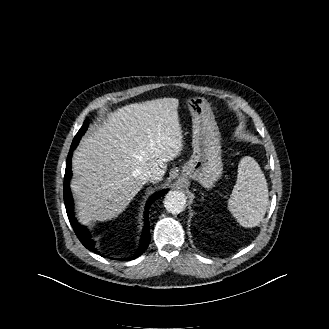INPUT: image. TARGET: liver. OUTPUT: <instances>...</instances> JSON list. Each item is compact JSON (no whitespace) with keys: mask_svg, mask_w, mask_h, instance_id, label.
Segmentation results:
<instances>
[{"mask_svg":"<svg viewBox=\"0 0 329 329\" xmlns=\"http://www.w3.org/2000/svg\"><path fill=\"white\" fill-rule=\"evenodd\" d=\"M178 105L176 98L126 105L82 138L72 159L71 190L83 223L122 213L143 188L144 170L162 180L166 163L183 146Z\"/></svg>","mask_w":329,"mask_h":329,"instance_id":"1","label":"liver"}]
</instances>
